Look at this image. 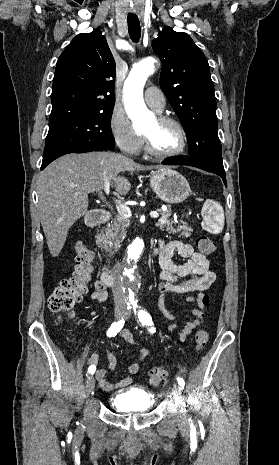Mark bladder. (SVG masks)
Segmentation results:
<instances>
[{"mask_svg":"<svg viewBox=\"0 0 279 465\" xmlns=\"http://www.w3.org/2000/svg\"><path fill=\"white\" fill-rule=\"evenodd\" d=\"M110 405L119 412L146 413L152 409L154 399L145 388L132 386L114 394Z\"/></svg>","mask_w":279,"mask_h":465,"instance_id":"31cf9c89","label":"bladder"}]
</instances>
